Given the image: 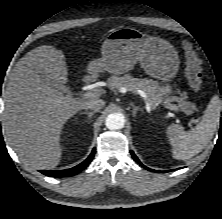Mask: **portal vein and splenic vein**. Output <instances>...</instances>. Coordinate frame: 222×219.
<instances>
[{
  "label": "portal vein and splenic vein",
  "mask_w": 222,
  "mask_h": 219,
  "mask_svg": "<svg viewBox=\"0 0 222 219\" xmlns=\"http://www.w3.org/2000/svg\"><path fill=\"white\" fill-rule=\"evenodd\" d=\"M137 94H139L141 97H143L145 100H146V104L148 106L151 105V103L147 100V96H146V93L140 89H137L135 91ZM100 94L99 90L97 89H94V90H91V91H87L84 93V97L85 98H88V97H96ZM157 105V104H156ZM162 105L167 108V109H170V110H173V111H179V107L175 104H172V103H169V102H163ZM191 122L192 123H197L198 120L195 119V118H191Z\"/></svg>",
  "instance_id": "portal-vein-and-splenic-vein-1"
}]
</instances>
